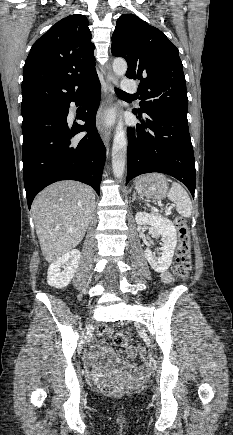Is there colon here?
<instances>
[{"label":"colon","instance_id":"obj_1","mask_svg":"<svg viewBox=\"0 0 233 435\" xmlns=\"http://www.w3.org/2000/svg\"><path fill=\"white\" fill-rule=\"evenodd\" d=\"M174 224L178 232V246L176 250L174 274L181 279L188 278L190 268V239L188 235V226L186 219L181 216L174 218ZM97 333L101 337H111L116 345H121L127 342L129 337L124 333H115L109 326L100 325L97 328ZM141 347L140 345L138 346ZM123 385L113 382H104L101 385V392L108 396L120 395L124 392Z\"/></svg>","mask_w":233,"mask_h":435}]
</instances>
